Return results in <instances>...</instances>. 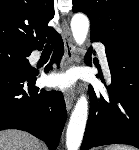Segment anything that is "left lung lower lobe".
Returning a JSON list of instances; mask_svg holds the SVG:
<instances>
[{
	"instance_id": "left-lung-lower-lobe-1",
	"label": "left lung lower lobe",
	"mask_w": 139,
	"mask_h": 150,
	"mask_svg": "<svg viewBox=\"0 0 139 150\" xmlns=\"http://www.w3.org/2000/svg\"><path fill=\"white\" fill-rule=\"evenodd\" d=\"M91 40L98 41L95 37ZM106 56L112 82L108 96L90 87V112L81 150L109 144L139 149V35L106 49Z\"/></svg>"
}]
</instances>
